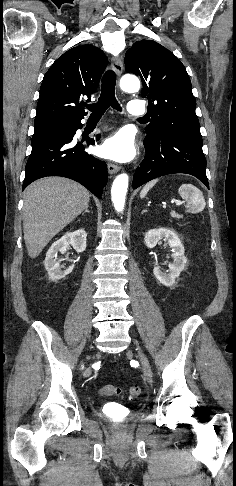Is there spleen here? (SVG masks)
I'll list each match as a JSON object with an SVG mask.
<instances>
[{
	"instance_id": "spleen-1",
	"label": "spleen",
	"mask_w": 236,
	"mask_h": 486,
	"mask_svg": "<svg viewBox=\"0 0 236 486\" xmlns=\"http://www.w3.org/2000/svg\"><path fill=\"white\" fill-rule=\"evenodd\" d=\"M157 181L158 179L148 182L141 190L140 197H145ZM178 192L187 201V212L199 213L204 210L206 202L203 193L197 187L192 184H183L179 187Z\"/></svg>"
}]
</instances>
